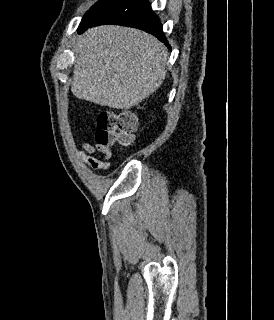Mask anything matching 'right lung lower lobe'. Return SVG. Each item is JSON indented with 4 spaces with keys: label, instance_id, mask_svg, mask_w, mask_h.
I'll return each instance as SVG.
<instances>
[{
    "label": "right lung lower lobe",
    "instance_id": "right-lung-lower-lobe-1",
    "mask_svg": "<svg viewBox=\"0 0 274 320\" xmlns=\"http://www.w3.org/2000/svg\"><path fill=\"white\" fill-rule=\"evenodd\" d=\"M104 24H116L141 29L153 34L169 47L162 31V23L152 11L148 0H124L121 4L102 15L96 21L78 28V31L79 33H82L89 27Z\"/></svg>",
    "mask_w": 274,
    "mask_h": 320
}]
</instances>
